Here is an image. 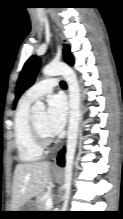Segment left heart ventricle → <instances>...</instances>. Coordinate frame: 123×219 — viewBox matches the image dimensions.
Instances as JSON below:
<instances>
[{"instance_id": "obj_1", "label": "left heart ventricle", "mask_w": 123, "mask_h": 219, "mask_svg": "<svg viewBox=\"0 0 123 219\" xmlns=\"http://www.w3.org/2000/svg\"><path fill=\"white\" fill-rule=\"evenodd\" d=\"M34 119H35V122H36L37 126L39 127V129L44 134L51 135V133L47 129V125H46V113L45 112H41V113L35 115Z\"/></svg>"}]
</instances>
